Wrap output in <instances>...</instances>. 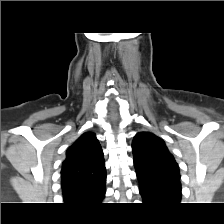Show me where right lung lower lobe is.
I'll list each match as a JSON object with an SVG mask.
<instances>
[{
  "label": "right lung lower lobe",
  "instance_id": "right-lung-lower-lobe-1",
  "mask_svg": "<svg viewBox=\"0 0 224 224\" xmlns=\"http://www.w3.org/2000/svg\"><path fill=\"white\" fill-rule=\"evenodd\" d=\"M104 194H105V190L101 194H99L96 198H94V201L95 202L101 201L104 197Z\"/></svg>",
  "mask_w": 224,
  "mask_h": 224
}]
</instances>
